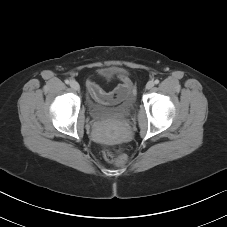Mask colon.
I'll list each match as a JSON object with an SVG mask.
<instances>
[{"mask_svg": "<svg viewBox=\"0 0 227 227\" xmlns=\"http://www.w3.org/2000/svg\"><path fill=\"white\" fill-rule=\"evenodd\" d=\"M104 158L106 159V161L115 164V165H123L126 160L127 157L124 154H115L110 150H105L104 151Z\"/></svg>", "mask_w": 227, "mask_h": 227, "instance_id": "5ec220e1", "label": "colon"}]
</instances>
